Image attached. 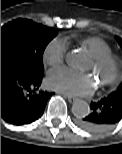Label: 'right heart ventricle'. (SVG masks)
Here are the masks:
<instances>
[{
  "instance_id": "e07e8e85",
  "label": "right heart ventricle",
  "mask_w": 122,
  "mask_h": 154,
  "mask_svg": "<svg viewBox=\"0 0 122 154\" xmlns=\"http://www.w3.org/2000/svg\"><path fill=\"white\" fill-rule=\"evenodd\" d=\"M64 40H69V37H66ZM78 44L87 49L92 58H98L111 54L110 46L105 41L99 38H81L78 39Z\"/></svg>"
}]
</instances>
